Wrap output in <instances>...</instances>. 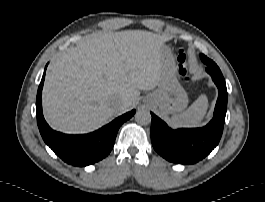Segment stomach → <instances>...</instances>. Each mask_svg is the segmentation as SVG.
I'll list each match as a JSON object with an SVG mask.
<instances>
[{
  "mask_svg": "<svg viewBox=\"0 0 265 202\" xmlns=\"http://www.w3.org/2000/svg\"><path fill=\"white\" fill-rule=\"evenodd\" d=\"M163 60V76L158 88L153 93V102L163 113L183 111L188 104V95L177 79V69L168 46L160 49Z\"/></svg>",
  "mask_w": 265,
  "mask_h": 202,
  "instance_id": "obj_1",
  "label": "stomach"
}]
</instances>
